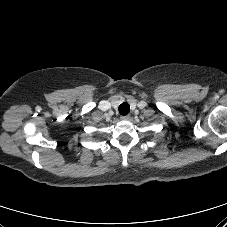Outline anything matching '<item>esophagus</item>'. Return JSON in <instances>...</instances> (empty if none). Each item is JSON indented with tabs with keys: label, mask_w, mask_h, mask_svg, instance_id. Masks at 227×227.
<instances>
[{
	"label": "esophagus",
	"mask_w": 227,
	"mask_h": 227,
	"mask_svg": "<svg viewBox=\"0 0 227 227\" xmlns=\"http://www.w3.org/2000/svg\"><path fill=\"white\" fill-rule=\"evenodd\" d=\"M122 120H129L130 116L129 115H124L120 117Z\"/></svg>",
	"instance_id": "esophagus-1"
}]
</instances>
